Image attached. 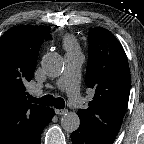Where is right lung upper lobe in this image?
<instances>
[{
    "label": "right lung upper lobe",
    "instance_id": "1",
    "mask_svg": "<svg viewBox=\"0 0 144 144\" xmlns=\"http://www.w3.org/2000/svg\"><path fill=\"white\" fill-rule=\"evenodd\" d=\"M47 26H15L0 37V144H26L46 120L50 108L30 104V81Z\"/></svg>",
    "mask_w": 144,
    "mask_h": 144
}]
</instances>
